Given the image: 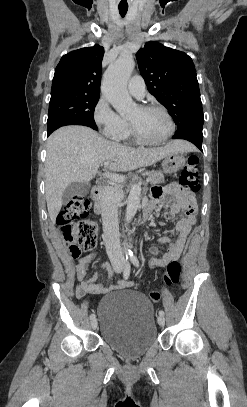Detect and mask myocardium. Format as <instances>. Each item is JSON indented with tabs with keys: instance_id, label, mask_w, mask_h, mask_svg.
I'll return each instance as SVG.
<instances>
[{
	"instance_id": "obj_1",
	"label": "myocardium",
	"mask_w": 247,
	"mask_h": 407,
	"mask_svg": "<svg viewBox=\"0 0 247 407\" xmlns=\"http://www.w3.org/2000/svg\"><path fill=\"white\" fill-rule=\"evenodd\" d=\"M139 108L142 110L161 111L168 120L169 131L164 138H162L158 141H149V140H146L143 137H141V135L138 133L134 124L132 122L128 121V127H129V131H130L132 138L137 143H139L141 145H146V146H158V145H162V144L166 143L173 136L175 129H176L175 121H174L172 115L170 114V112L164 106L159 105V104H143V105H140Z\"/></svg>"
}]
</instances>
